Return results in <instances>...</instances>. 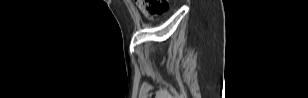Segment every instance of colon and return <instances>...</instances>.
Here are the masks:
<instances>
[{"label":"colon","mask_w":308,"mask_h":98,"mask_svg":"<svg viewBox=\"0 0 308 98\" xmlns=\"http://www.w3.org/2000/svg\"><path fill=\"white\" fill-rule=\"evenodd\" d=\"M136 3L149 17L162 16L168 10L167 0H136Z\"/></svg>","instance_id":"colon-1"}]
</instances>
